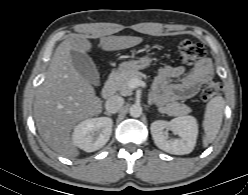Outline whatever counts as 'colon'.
Here are the masks:
<instances>
[{
  "mask_svg": "<svg viewBox=\"0 0 248 195\" xmlns=\"http://www.w3.org/2000/svg\"><path fill=\"white\" fill-rule=\"evenodd\" d=\"M176 49L180 60L188 65L202 59L206 54L205 47L201 43L193 42L187 39L179 41L176 44ZM221 90L222 86L220 83L213 80L205 81L201 88V102H208L214 96L219 94Z\"/></svg>",
  "mask_w": 248,
  "mask_h": 195,
  "instance_id": "5ec220e1",
  "label": "colon"
}]
</instances>
